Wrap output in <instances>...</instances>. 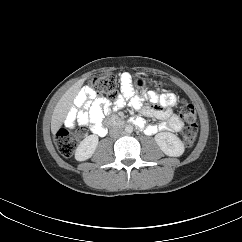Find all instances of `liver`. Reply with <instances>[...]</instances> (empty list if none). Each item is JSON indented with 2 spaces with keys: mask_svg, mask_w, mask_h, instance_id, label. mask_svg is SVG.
I'll list each match as a JSON object with an SVG mask.
<instances>
[{
  "mask_svg": "<svg viewBox=\"0 0 242 242\" xmlns=\"http://www.w3.org/2000/svg\"><path fill=\"white\" fill-rule=\"evenodd\" d=\"M84 79L79 80L76 84H74L60 99L58 104L56 105L52 120H51V131L55 135L58 130L61 128L68 110L72 106V101L80 87L83 85Z\"/></svg>",
  "mask_w": 242,
  "mask_h": 242,
  "instance_id": "obj_1",
  "label": "liver"
}]
</instances>
